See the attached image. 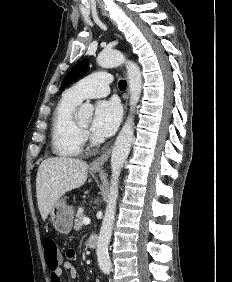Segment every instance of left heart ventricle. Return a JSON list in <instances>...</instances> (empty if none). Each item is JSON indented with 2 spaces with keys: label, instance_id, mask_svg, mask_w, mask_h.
Wrapping results in <instances>:
<instances>
[{
  "label": "left heart ventricle",
  "instance_id": "1",
  "mask_svg": "<svg viewBox=\"0 0 232 282\" xmlns=\"http://www.w3.org/2000/svg\"><path fill=\"white\" fill-rule=\"evenodd\" d=\"M78 121L84 127H88L91 123L90 117H80Z\"/></svg>",
  "mask_w": 232,
  "mask_h": 282
}]
</instances>
